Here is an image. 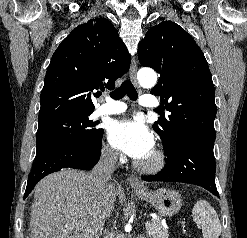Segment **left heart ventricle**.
I'll return each instance as SVG.
<instances>
[{"instance_id":"b2bd125f","label":"left heart ventricle","mask_w":247,"mask_h":238,"mask_svg":"<svg viewBox=\"0 0 247 238\" xmlns=\"http://www.w3.org/2000/svg\"><path fill=\"white\" fill-rule=\"evenodd\" d=\"M149 157H150V155H149V156H147V157H145L143 160H144V161H146V160H148V159H149Z\"/></svg>"}]
</instances>
